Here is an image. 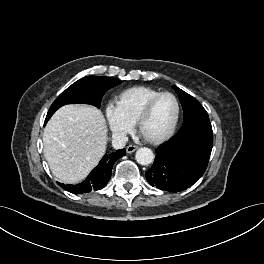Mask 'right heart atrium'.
Listing matches in <instances>:
<instances>
[{
    "instance_id": "obj_1",
    "label": "right heart atrium",
    "mask_w": 264,
    "mask_h": 264,
    "mask_svg": "<svg viewBox=\"0 0 264 264\" xmlns=\"http://www.w3.org/2000/svg\"><path fill=\"white\" fill-rule=\"evenodd\" d=\"M106 118L110 130L117 137L124 136L132 129L133 124L126 120L113 104L106 107Z\"/></svg>"
}]
</instances>
